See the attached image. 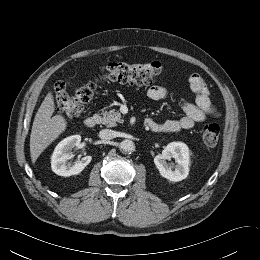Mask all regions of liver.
Here are the masks:
<instances>
[{
  "mask_svg": "<svg viewBox=\"0 0 260 260\" xmlns=\"http://www.w3.org/2000/svg\"><path fill=\"white\" fill-rule=\"evenodd\" d=\"M55 110L54 98L49 92L41 103L34 121L30 135V156L35 163L40 154L63 133L67 122L62 115L52 117Z\"/></svg>",
  "mask_w": 260,
  "mask_h": 260,
  "instance_id": "1",
  "label": "liver"
}]
</instances>
